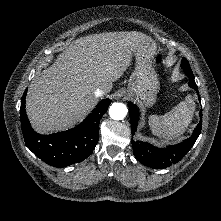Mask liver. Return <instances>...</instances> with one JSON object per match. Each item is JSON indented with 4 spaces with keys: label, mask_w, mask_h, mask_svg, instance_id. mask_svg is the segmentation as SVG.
Returning <instances> with one entry per match:
<instances>
[{
    "label": "liver",
    "mask_w": 221,
    "mask_h": 221,
    "mask_svg": "<svg viewBox=\"0 0 221 221\" xmlns=\"http://www.w3.org/2000/svg\"><path fill=\"white\" fill-rule=\"evenodd\" d=\"M146 40L141 32L123 31L73 41L29 88L26 112L34 129L46 134L82 120L97 103L95 90L109 93Z\"/></svg>",
    "instance_id": "6515ba94"
}]
</instances>
